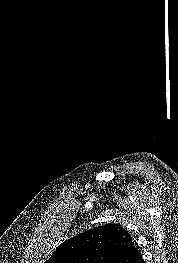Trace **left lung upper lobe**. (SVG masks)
Listing matches in <instances>:
<instances>
[{
    "mask_svg": "<svg viewBox=\"0 0 178 263\" xmlns=\"http://www.w3.org/2000/svg\"><path fill=\"white\" fill-rule=\"evenodd\" d=\"M129 236L119 224L95 227L60 244L45 263H109Z\"/></svg>",
    "mask_w": 178,
    "mask_h": 263,
    "instance_id": "left-lung-upper-lobe-1",
    "label": "left lung upper lobe"
}]
</instances>
